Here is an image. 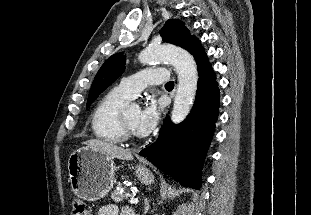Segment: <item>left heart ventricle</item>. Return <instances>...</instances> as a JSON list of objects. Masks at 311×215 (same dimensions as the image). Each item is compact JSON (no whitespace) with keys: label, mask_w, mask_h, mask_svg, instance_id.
Listing matches in <instances>:
<instances>
[{"label":"left heart ventricle","mask_w":311,"mask_h":215,"mask_svg":"<svg viewBox=\"0 0 311 215\" xmlns=\"http://www.w3.org/2000/svg\"><path fill=\"white\" fill-rule=\"evenodd\" d=\"M140 112V108L137 105H131L126 111V120L134 132V124Z\"/></svg>","instance_id":"obj_1"}]
</instances>
